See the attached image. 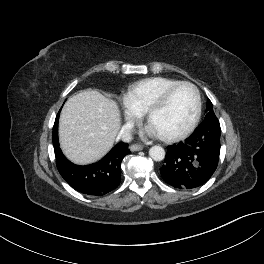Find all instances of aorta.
<instances>
[{"label":"aorta","instance_id":"aorta-1","mask_svg":"<svg viewBox=\"0 0 264 264\" xmlns=\"http://www.w3.org/2000/svg\"><path fill=\"white\" fill-rule=\"evenodd\" d=\"M149 156L154 161H162L165 158V150L161 146H152L149 150Z\"/></svg>","mask_w":264,"mask_h":264}]
</instances>
